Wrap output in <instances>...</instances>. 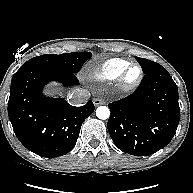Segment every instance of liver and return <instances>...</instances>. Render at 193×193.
<instances>
[{"label": "liver", "instance_id": "obj_1", "mask_svg": "<svg viewBox=\"0 0 193 193\" xmlns=\"http://www.w3.org/2000/svg\"><path fill=\"white\" fill-rule=\"evenodd\" d=\"M46 95H55L57 93H61V89L58 87L56 83H51L49 87L44 91Z\"/></svg>", "mask_w": 193, "mask_h": 193}]
</instances>
